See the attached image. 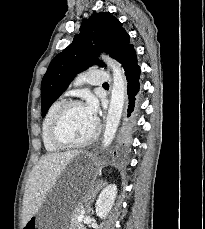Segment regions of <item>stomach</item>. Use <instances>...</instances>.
<instances>
[{
    "instance_id": "1",
    "label": "stomach",
    "mask_w": 205,
    "mask_h": 229,
    "mask_svg": "<svg viewBox=\"0 0 205 229\" xmlns=\"http://www.w3.org/2000/svg\"><path fill=\"white\" fill-rule=\"evenodd\" d=\"M96 172L92 154L83 152L72 161L59 184L51 190L39 211L24 225V229H71V218L82 195L91 191V179Z\"/></svg>"
}]
</instances>
